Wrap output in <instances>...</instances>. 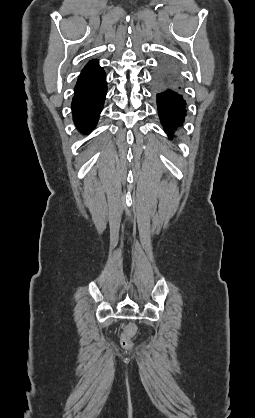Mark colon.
Masks as SVG:
<instances>
[{
  "label": "colon",
  "instance_id": "colon-1",
  "mask_svg": "<svg viewBox=\"0 0 255 418\" xmlns=\"http://www.w3.org/2000/svg\"><path fill=\"white\" fill-rule=\"evenodd\" d=\"M137 333V327L134 324H128L123 328L120 343L124 349H132L133 348V337Z\"/></svg>",
  "mask_w": 255,
  "mask_h": 418
}]
</instances>
